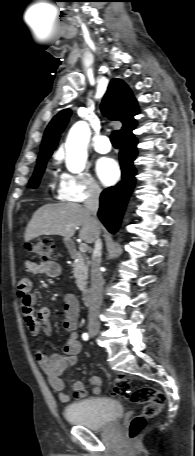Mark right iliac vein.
<instances>
[{"instance_id": "obj_1", "label": "right iliac vein", "mask_w": 195, "mask_h": 456, "mask_svg": "<svg viewBox=\"0 0 195 456\" xmlns=\"http://www.w3.org/2000/svg\"><path fill=\"white\" fill-rule=\"evenodd\" d=\"M89 333L91 336H96L99 333V328L92 326L89 328Z\"/></svg>"}]
</instances>
